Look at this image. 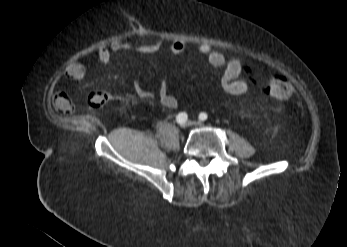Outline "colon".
I'll return each instance as SVG.
<instances>
[{"label":"colon","instance_id":"1","mask_svg":"<svg viewBox=\"0 0 347 247\" xmlns=\"http://www.w3.org/2000/svg\"><path fill=\"white\" fill-rule=\"evenodd\" d=\"M267 91L272 97L284 99L291 95L292 86L282 75L272 77L267 83ZM109 96L103 91H94L89 97V104L94 108H100L107 103Z\"/></svg>","mask_w":347,"mask_h":247}]
</instances>
